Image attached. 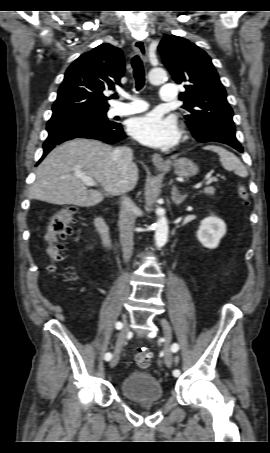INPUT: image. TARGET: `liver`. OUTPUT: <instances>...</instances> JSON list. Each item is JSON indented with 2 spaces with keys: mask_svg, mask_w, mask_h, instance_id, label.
Wrapping results in <instances>:
<instances>
[{
  "mask_svg": "<svg viewBox=\"0 0 270 453\" xmlns=\"http://www.w3.org/2000/svg\"><path fill=\"white\" fill-rule=\"evenodd\" d=\"M113 150L100 141L81 138L56 147L38 166L30 198L80 207L102 202L103 194L87 189L76 174L92 178L113 196L132 191L138 181L137 165L132 163L126 170L119 168L112 157Z\"/></svg>",
  "mask_w": 270,
  "mask_h": 453,
  "instance_id": "obj_1",
  "label": "liver"
}]
</instances>
